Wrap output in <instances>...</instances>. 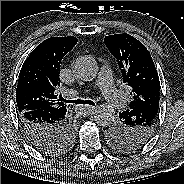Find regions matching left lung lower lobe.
Segmentation results:
<instances>
[{"mask_svg":"<svg viewBox=\"0 0 184 184\" xmlns=\"http://www.w3.org/2000/svg\"><path fill=\"white\" fill-rule=\"evenodd\" d=\"M158 106H159V100L158 99H154V100L151 101L150 104H147L146 106L142 107V109L143 110H147L150 107L157 108ZM141 114H145V112H143Z\"/></svg>","mask_w":184,"mask_h":184,"instance_id":"1","label":"left lung lower lobe"}]
</instances>
